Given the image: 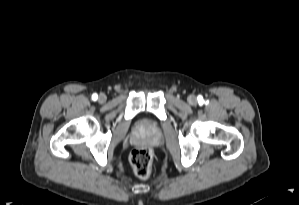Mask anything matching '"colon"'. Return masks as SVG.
<instances>
[{
    "instance_id": "colon-1",
    "label": "colon",
    "mask_w": 299,
    "mask_h": 205,
    "mask_svg": "<svg viewBox=\"0 0 299 205\" xmlns=\"http://www.w3.org/2000/svg\"><path fill=\"white\" fill-rule=\"evenodd\" d=\"M130 162L135 175L146 179L151 174L152 155L147 148H137L131 152Z\"/></svg>"
}]
</instances>
